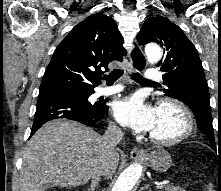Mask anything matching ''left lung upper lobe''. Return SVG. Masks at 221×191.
<instances>
[{"label":"left lung upper lobe","instance_id":"obj_1","mask_svg":"<svg viewBox=\"0 0 221 191\" xmlns=\"http://www.w3.org/2000/svg\"><path fill=\"white\" fill-rule=\"evenodd\" d=\"M137 40L143 45L156 42L163 48L164 58L158 66L164 72L165 95L186 103L192 109L198 129L215 149L211 112L209 118L201 117L192 103L193 89L206 86L204 90L209 94L202 63L195 46L177 25L163 16L148 18L138 33Z\"/></svg>","mask_w":221,"mask_h":191}]
</instances>
